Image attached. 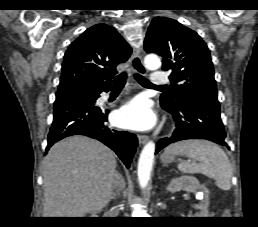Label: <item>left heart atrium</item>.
I'll return each mask as SVG.
<instances>
[{"label":"left heart atrium","mask_w":258,"mask_h":227,"mask_svg":"<svg viewBox=\"0 0 258 227\" xmlns=\"http://www.w3.org/2000/svg\"><path fill=\"white\" fill-rule=\"evenodd\" d=\"M156 120L148 100L135 98L120 108L115 115V122L124 128L145 130L151 128Z\"/></svg>","instance_id":"39dd6f15"}]
</instances>
